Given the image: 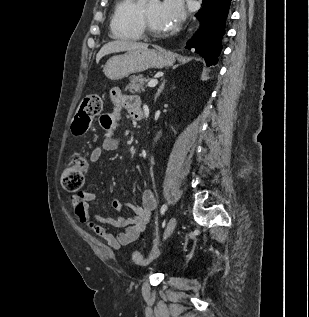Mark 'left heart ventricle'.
I'll return each mask as SVG.
<instances>
[{"mask_svg":"<svg viewBox=\"0 0 309 317\" xmlns=\"http://www.w3.org/2000/svg\"><path fill=\"white\" fill-rule=\"evenodd\" d=\"M145 15L150 26L158 31L164 32L166 31L161 19H160V4L154 3L144 8Z\"/></svg>","mask_w":309,"mask_h":317,"instance_id":"obj_1","label":"left heart ventricle"}]
</instances>
